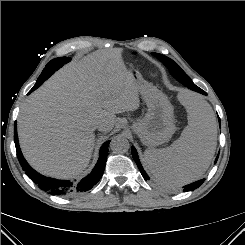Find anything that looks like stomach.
Segmentation results:
<instances>
[{"label":"stomach","mask_w":245,"mask_h":245,"mask_svg":"<svg viewBox=\"0 0 245 245\" xmlns=\"http://www.w3.org/2000/svg\"><path fill=\"white\" fill-rule=\"evenodd\" d=\"M128 71L135 79L139 93L145 100L148 111L144 118L132 125L141 142L147 146H157L168 141L175 132L173 106L166 95L141 77L131 66Z\"/></svg>","instance_id":"1"}]
</instances>
